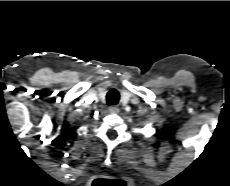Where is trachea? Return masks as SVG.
Wrapping results in <instances>:
<instances>
[{
  "label": "trachea",
  "mask_w": 230,
  "mask_h": 186,
  "mask_svg": "<svg viewBox=\"0 0 230 186\" xmlns=\"http://www.w3.org/2000/svg\"><path fill=\"white\" fill-rule=\"evenodd\" d=\"M120 99L119 92L116 89H111L106 95L108 105H116Z\"/></svg>",
  "instance_id": "1"
}]
</instances>
